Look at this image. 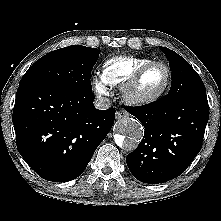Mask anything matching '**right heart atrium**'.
Segmentation results:
<instances>
[{"mask_svg":"<svg viewBox=\"0 0 221 221\" xmlns=\"http://www.w3.org/2000/svg\"><path fill=\"white\" fill-rule=\"evenodd\" d=\"M92 83L97 95L103 96L107 94L106 84L102 78L94 77Z\"/></svg>","mask_w":221,"mask_h":221,"instance_id":"1","label":"right heart atrium"}]
</instances>
